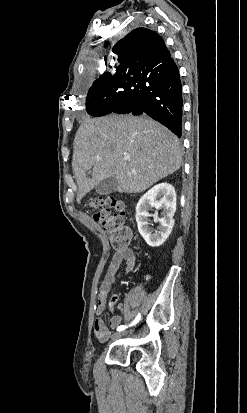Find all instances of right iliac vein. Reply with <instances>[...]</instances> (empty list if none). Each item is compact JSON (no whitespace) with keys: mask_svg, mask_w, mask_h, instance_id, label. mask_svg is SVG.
<instances>
[{"mask_svg":"<svg viewBox=\"0 0 247 413\" xmlns=\"http://www.w3.org/2000/svg\"><path fill=\"white\" fill-rule=\"evenodd\" d=\"M128 334V332H119V333H115L114 335H113V338L114 339H118V338H121V337H124V336H126Z\"/></svg>","mask_w":247,"mask_h":413,"instance_id":"63e3f726","label":"right iliac vein"}]
</instances>
